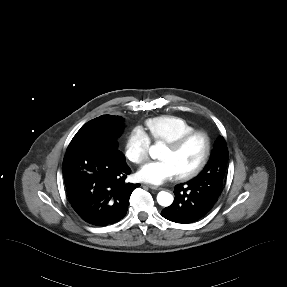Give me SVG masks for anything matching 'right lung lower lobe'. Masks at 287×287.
Here are the masks:
<instances>
[{"label":"right lung lower lobe","instance_id":"obj_1","mask_svg":"<svg viewBox=\"0 0 287 287\" xmlns=\"http://www.w3.org/2000/svg\"><path fill=\"white\" fill-rule=\"evenodd\" d=\"M131 172L124 154L103 147L67 149L63 177L74 211L87 223L107 226L127 213L129 198L139 184L126 183Z\"/></svg>","mask_w":287,"mask_h":287}]
</instances>
